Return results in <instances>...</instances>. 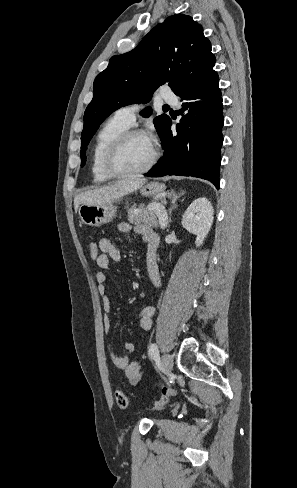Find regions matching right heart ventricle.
I'll list each match as a JSON object with an SVG mask.
<instances>
[{
	"label": "right heart ventricle",
	"mask_w": 297,
	"mask_h": 488,
	"mask_svg": "<svg viewBox=\"0 0 297 488\" xmlns=\"http://www.w3.org/2000/svg\"><path fill=\"white\" fill-rule=\"evenodd\" d=\"M129 128V125L114 115L97 133L91 152V173L95 182L103 183L112 179L105 171L104 157L111 143Z\"/></svg>",
	"instance_id": "e07e8e85"
}]
</instances>
